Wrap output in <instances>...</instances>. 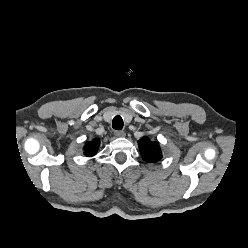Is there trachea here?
Wrapping results in <instances>:
<instances>
[{"label":"trachea","instance_id":"trachea-1","mask_svg":"<svg viewBox=\"0 0 248 248\" xmlns=\"http://www.w3.org/2000/svg\"><path fill=\"white\" fill-rule=\"evenodd\" d=\"M123 119L121 116L117 115L113 118V121H112V127L115 129V130H121L123 128Z\"/></svg>","mask_w":248,"mask_h":248}]
</instances>
